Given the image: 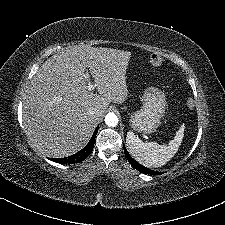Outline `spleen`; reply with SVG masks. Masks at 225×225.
<instances>
[{"label": "spleen", "mask_w": 225, "mask_h": 225, "mask_svg": "<svg viewBox=\"0 0 225 225\" xmlns=\"http://www.w3.org/2000/svg\"><path fill=\"white\" fill-rule=\"evenodd\" d=\"M182 138L183 132L179 130L167 145H160L156 142H144L133 132H128L126 143L129 153L136 161L148 168H158L176 154Z\"/></svg>", "instance_id": "1"}]
</instances>
